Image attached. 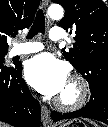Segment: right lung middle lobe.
<instances>
[{"label":"right lung middle lobe","instance_id":"obj_1","mask_svg":"<svg viewBox=\"0 0 108 127\" xmlns=\"http://www.w3.org/2000/svg\"><path fill=\"white\" fill-rule=\"evenodd\" d=\"M7 54V50H0V65L3 66L4 56Z\"/></svg>","mask_w":108,"mask_h":127}]
</instances>
